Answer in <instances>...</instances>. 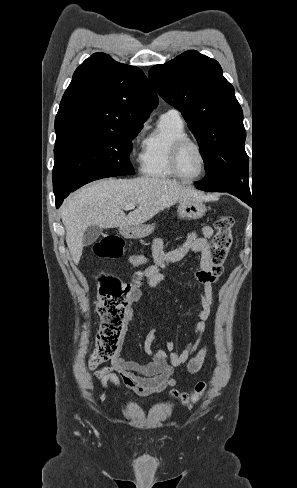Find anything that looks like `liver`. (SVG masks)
I'll return each mask as SVG.
<instances>
[{"instance_id":"obj_1","label":"liver","mask_w":297,"mask_h":488,"mask_svg":"<svg viewBox=\"0 0 297 488\" xmlns=\"http://www.w3.org/2000/svg\"><path fill=\"white\" fill-rule=\"evenodd\" d=\"M196 190L166 178H109L95 181L68 196L61 207L66 243L75 264L83 250V235L89 226L122 228L141 225L160 211L186 199L204 200ZM137 208L127 216L125 205Z\"/></svg>"}]
</instances>
